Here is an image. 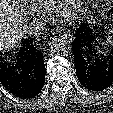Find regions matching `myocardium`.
I'll return each instance as SVG.
<instances>
[{"label":"myocardium","mask_w":113,"mask_h":113,"mask_svg":"<svg viewBox=\"0 0 113 113\" xmlns=\"http://www.w3.org/2000/svg\"><path fill=\"white\" fill-rule=\"evenodd\" d=\"M85 0H60L57 7L59 14L67 21L76 20L85 4Z\"/></svg>","instance_id":"f54148a6"}]
</instances>
